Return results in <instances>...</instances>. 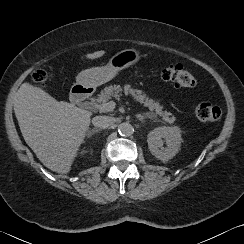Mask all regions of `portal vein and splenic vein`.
Here are the masks:
<instances>
[{
	"label": "portal vein and splenic vein",
	"mask_w": 244,
	"mask_h": 244,
	"mask_svg": "<svg viewBox=\"0 0 244 244\" xmlns=\"http://www.w3.org/2000/svg\"><path fill=\"white\" fill-rule=\"evenodd\" d=\"M96 107L100 111H109L113 110L116 107V103L114 101H109L105 104H99Z\"/></svg>",
	"instance_id": "1"
}]
</instances>
